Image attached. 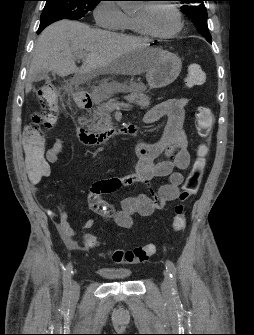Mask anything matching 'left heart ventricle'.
Instances as JSON below:
<instances>
[{
    "mask_svg": "<svg viewBox=\"0 0 254 335\" xmlns=\"http://www.w3.org/2000/svg\"><path fill=\"white\" fill-rule=\"evenodd\" d=\"M135 17L142 20L149 29L158 33H168L177 24L174 12L165 5H154L152 7L141 5L135 13Z\"/></svg>",
    "mask_w": 254,
    "mask_h": 335,
    "instance_id": "left-heart-ventricle-1",
    "label": "left heart ventricle"
}]
</instances>
